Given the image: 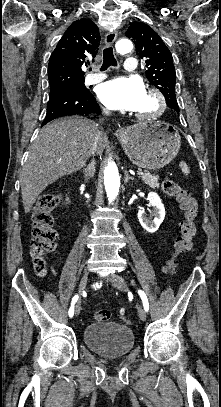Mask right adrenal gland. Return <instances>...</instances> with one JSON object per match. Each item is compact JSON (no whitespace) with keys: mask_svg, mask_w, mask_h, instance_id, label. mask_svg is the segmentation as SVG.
<instances>
[{"mask_svg":"<svg viewBox=\"0 0 221 407\" xmlns=\"http://www.w3.org/2000/svg\"><path fill=\"white\" fill-rule=\"evenodd\" d=\"M95 164V160H92V162L87 167L83 168L85 180H89L94 176L96 171Z\"/></svg>","mask_w":221,"mask_h":407,"instance_id":"right-adrenal-gland-1","label":"right adrenal gland"}]
</instances>
